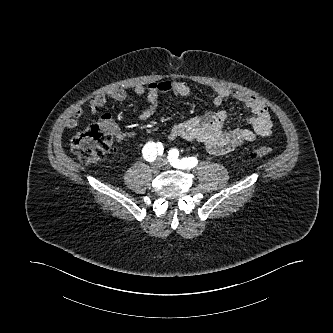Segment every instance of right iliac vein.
<instances>
[{
	"mask_svg": "<svg viewBox=\"0 0 333 333\" xmlns=\"http://www.w3.org/2000/svg\"><path fill=\"white\" fill-rule=\"evenodd\" d=\"M151 168H152V171L154 173H158L161 169V163L160 162H155V163L152 164Z\"/></svg>",
	"mask_w": 333,
	"mask_h": 333,
	"instance_id": "right-iliac-vein-1",
	"label": "right iliac vein"
}]
</instances>
